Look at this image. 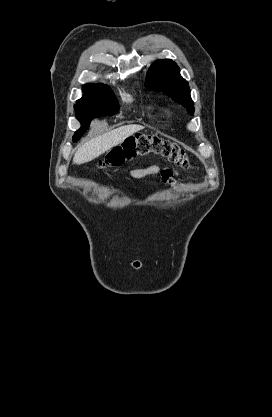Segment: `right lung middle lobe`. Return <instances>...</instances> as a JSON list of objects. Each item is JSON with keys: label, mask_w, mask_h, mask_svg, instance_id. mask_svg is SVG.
I'll return each instance as SVG.
<instances>
[{"label": "right lung middle lobe", "mask_w": 272, "mask_h": 417, "mask_svg": "<svg viewBox=\"0 0 272 417\" xmlns=\"http://www.w3.org/2000/svg\"><path fill=\"white\" fill-rule=\"evenodd\" d=\"M74 108L76 118L82 124L73 136V142H76L86 132L93 118L112 116L119 110V105L113 94H96L77 103Z\"/></svg>", "instance_id": "right-lung-middle-lobe-1"}]
</instances>
